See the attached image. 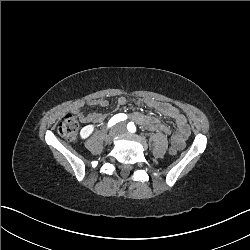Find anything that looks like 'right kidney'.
Masks as SVG:
<instances>
[{
	"mask_svg": "<svg viewBox=\"0 0 250 250\" xmlns=\"http://www.w3.org/2000/svg\"><path fill=\"white\" fill-rule=\"evenodd\" d=\"M94 126L93 125H87L83 127L80 131V136L82 139H85L89 137V135L93 132Z\"/></svg>",
	"mask_w": 250,
	"mask_h": 250,
	"instance_id": "1",
	"label": "right kidney"
}]
</instances>
